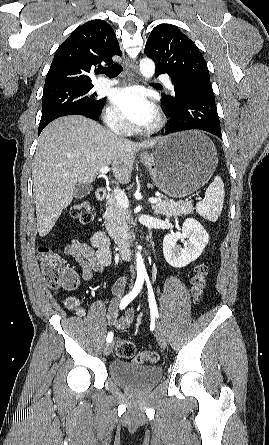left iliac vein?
I'll return each mask as SVG.
<instances>
[{"mask_svg":"<svg viewBox=\"0 0 269 445\" xmlns=\"http://www.w3.org/2000/svg\"><path fill=\"white\" fill-rule=\"evenodd\" d=\"M155 334H156V340H157L158 344L162 348H165L167 346V339H166L165 331L160 323L156 324Z\"/></svg>","mask_w":269,"mask_h":445,"instance_id":"1","label":"left iliac vein"}]
</instances>
